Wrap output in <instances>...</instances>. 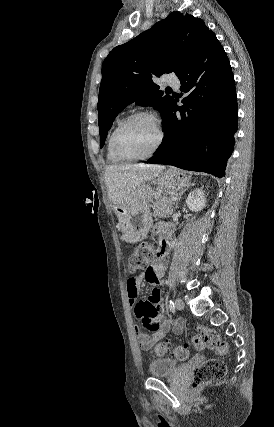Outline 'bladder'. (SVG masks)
Listing matches in <instances>:
<instances>
[{
  "label": "bladder",
  "mask_w": 274,
  "mask_h": 427,
  "mask_svg": "<svg viewBox=\"0 0 274 427\" xmlns=\"http://www.w3.org/2000/svg\"><path fill=\"white\" fill-rule=\"evenodd\" d=\"M179 365L174 359L158 358L150 361L147 366V372L151 375V378L173 376Z\"/></svg>",
  "instance_id": "bladder-1"
}]
</instances>
